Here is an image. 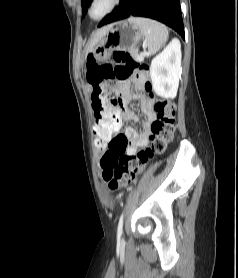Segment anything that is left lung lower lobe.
Segmentation results:
<instances>
[{"label":"left lung lower lobe","instance_id":"left-lung-lower-lobe-1","mask_svg":"<svg viewBox=\"0 0 238 278\" xmlns=\"http://www.w3.org/2000/svg\"><path fill=\"white\" fill-rule=\"evenodd\" d=\"M131 16L158 20L185 37L179 0H121L118 9L108 14L99 27Z\"/></svg>","mask_w":238,"mask_h":278}]
</instances>
